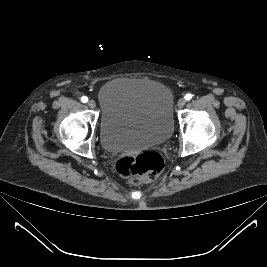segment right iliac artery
Instances as JSON below:
<instances>
[{
    "instance_id": "right-iliac-artery-1",
    "label": "right iliac artery",
    "mask_w": 267,
    "mask_h": 267,
    "mask_svg": "<svg viewBox=\"0 0 267 267\" xmlns=\"http://www.w3.org/2000/svg\"><path fill=\"white\" fill-rule=\"evenodd\" d=\"M81 100H82V102H84V103H86V102L88 101L87 97H85V96H83V97L81 98Z\"/></svg>"
}]
</instances>
